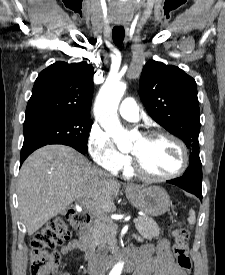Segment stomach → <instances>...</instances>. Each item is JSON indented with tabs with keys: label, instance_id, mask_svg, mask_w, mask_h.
I'll list each match as a JSON object with an SVG mask.
<instances>
[{
	"label": "stomach",
	"instance_id": "0dacf381",
	"mask_svg": "<svg viewBox=\"0 0 225 275\" xmlns=\"http://www.w3.org/2000/svg\"><path fill=\"white\" fill-rule=\"evenodd\" d=\"M126 195L136 208L149 217L161 216L170 209V197L160 186L135 187L126 190Z\"/></svg>",
	"mask_w": 225,
	"mask_h": 275
}]
</instances>
